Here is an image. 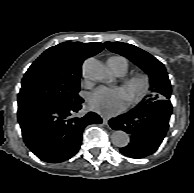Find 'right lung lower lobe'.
<instances>
[{"label":"right lung lower lobe","instance_id":"1","mask_svg":"<svg viewBox=\"0 0 194 193\" xmlns=\"http://www.w3.org/2000/svg\"><path fill=\"white\" fill-rule=\"evenodd\" d=\"M73 105H31L18 107V121L27 147L41 160L59 163L71 158L79 150L82 132L89 124L102 119L93 112L75 117L81 103Z\"/></svg>","mask_w":194,"mask_h":193}]
</instances>
